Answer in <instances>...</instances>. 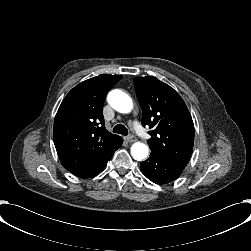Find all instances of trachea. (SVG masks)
Returning <instances> with one entry per match:
<instances>
[{
	"mask_svg": "<svg viewBox=\"0 0 251 251\" xmlns=\"http://www.w3.org/2000/svg\"><path fill=\"white\" fill-rule=\"evenodd\" d=\"M113 132L124 135V136L128 135L127 128L122 124L115 125L114 128H113Z\"/></svg>",
	"mask_w": 251,
	"mask_h": 251,
	"instance_id": "3493384b",
	"label": "trachea"
}]
</instances>
